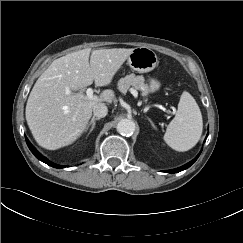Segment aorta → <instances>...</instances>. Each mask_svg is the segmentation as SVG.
<instances>
[{"mask_svg":"<svg viewBox=\"0 0 243 243\" xmlns=\"http://www.w3.org/2000/svg\"><path fill=\"white\" fill-rule=\"evenodd\" d=\"M117 131L123 136H131L135 131V123L131 119H122L117 124Z\"/></svg>","mask_w":243,"mask_h":243,"instance_id":"obj_1","label":"aorta"}]
</instances>
